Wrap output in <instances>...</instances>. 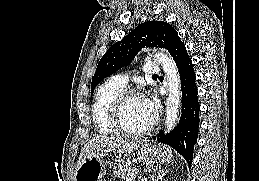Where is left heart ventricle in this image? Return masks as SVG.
Returning <instances> with one entry per match:
<instances>
[{
    "mask_svg": "<svg viewBox=\"0 0 259 181\" xmlns=\"http://www.w3.org/2000/svg\"><path fill=\"white\" fill-rule=\"evenodd\" d=\"M151 116L143 107L141 97H133L129 99L123 112V119L125 125L130 129H141L146 127L153 120Z\"/></svg>",
    "mask_w": 259,
    "mask_h": 181,
    "instance_id": "b2bd125f",
    "label": "left heart ventricle"
}]
</instances>
